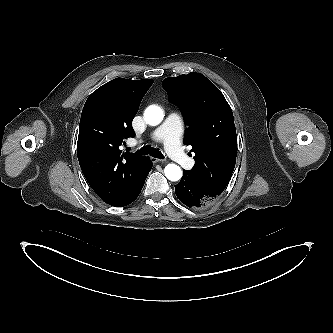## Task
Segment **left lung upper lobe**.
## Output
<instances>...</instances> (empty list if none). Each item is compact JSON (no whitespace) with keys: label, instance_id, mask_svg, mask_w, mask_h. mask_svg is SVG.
Masks as SVG:
<instances>
[{"label":"left lung upper lobe","instance_id":"obj_1","mask_svg":"<svg viewBox=\"0 0 333 333\" xmlns=\"http://www.w3.org/2000/svg\"><path fill=\"white\" fill-rule=\"evenodd\" d=\"M169 101L179 105L189 125L186 145L195 153L187 171L196 184L220 195L227 186L237 156L232 110L221 91L200 73L163 80Z\"/></svg>","mask_w":333,"mask_h":333}]
</instances>
